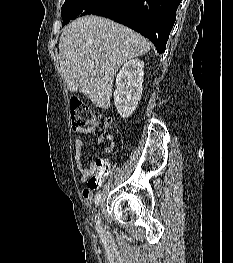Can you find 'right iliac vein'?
<instances>
[{
    "mask_svg": "<svg viewBox=\"0 0 233 263\" xmlns=\"http://www.w3.org/2000/svg\"><path fill=\"white\" fill-rule=\"evenodd\" d=\"M100 215V211L98 212L97 216Z\"/></svg>",
    "mask_w": 233,
    "mask_h": 263,
    "instance_id": "1",
    "label": "right iliac vein"
}]
</instances>
